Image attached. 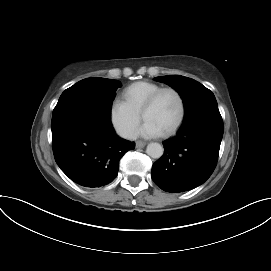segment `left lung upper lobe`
Instances as JSON below:
<instances>
[{
	"label": "left lung upper lobe",
	"mask_w": 271,
	"mask_h": 271,
	"mask_svg": "<svg viewBox=\"0 0 271 271\" xmlns=\"http://www.w3.org/2000/svg\"><path fill=\"white\" fill-rule=\"evenodd\" d=\"M156 81L166 83L181 96L184 104L185 118L210 111H219L214 94L201 83L180 75L160 76Z\"/></svg>",
	"instance_id": "obj_1"
}]
</instances>
